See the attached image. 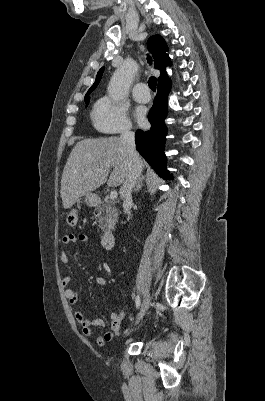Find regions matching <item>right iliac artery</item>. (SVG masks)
<instances>
[{
	"label": "right iliac artery",
	"mask_w": 265,
	"mask_h": 401,
	"mask_svg": "<svg viewBox=\"0 0 265 401\" xmlns=\"http://www.w3.org/2000/svg\"><path fill=\"white\" fill-rule=\"evenodd\" d=\"M135 302H136V307L139 308L140 305H141V299H140V296H139V295L136 296Z\"/></svg>",
	"instance_id": "right-iliac-artery-1"
}]
</instances>
